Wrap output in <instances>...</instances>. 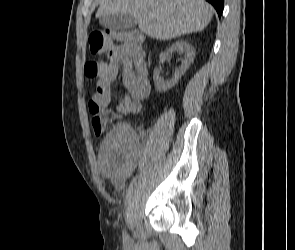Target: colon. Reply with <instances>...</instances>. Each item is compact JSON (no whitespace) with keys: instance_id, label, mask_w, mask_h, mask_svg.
<instances>
[{"instance_id":"5ec220e1","label":"colon","mask_w":295,"mask_h":250,"mask_svg":"<svg viewBox=\"0 0 295 250\" xmlns=\"http://www.w3.org/2000/svg\"><path fill=\"white\" fill-rule=\"evenodd\" d=\"M114 41L121 42L131 52L138 53L142 51L144 36L137 31H121L114 29H94L89 35V45L92 54L101 55L110 51ZM104 70V63L90 59L85 63L84 72L88 78L99 77ZM89 110L93 115L92 126L97 136L102 135L107 125L117 119L120 111L103 109L96 105L92 100L89 103Z\"/></svg>"}]
</instances>
